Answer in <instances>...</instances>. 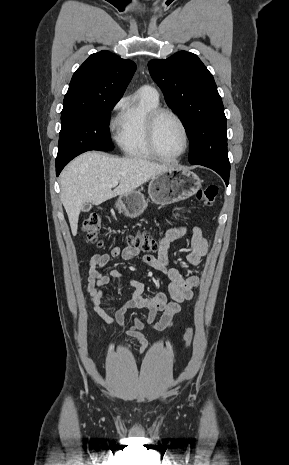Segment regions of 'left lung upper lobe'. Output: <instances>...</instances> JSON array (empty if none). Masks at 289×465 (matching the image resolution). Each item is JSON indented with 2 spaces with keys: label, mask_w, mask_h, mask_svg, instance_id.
<instances>
[{
  "label": "left lung upper lobe",
  "mask_w": 289,
  "mask_h": 465,
  "mask_svg": "<svg viewBox=\"0 0 289 465\" xmlns=\"http://www.w3.org/2000/svg\"><path fill=\"white\" fill-rule=\"evenodd\" d=\"M166 103L181 118L190 141L189 162L230 166L226 117L212 74L197 55L180 51L148 63Z\"/></svg>",
  "instance_id": "left-lung-upper-lobe-1"
}]
</instances>
